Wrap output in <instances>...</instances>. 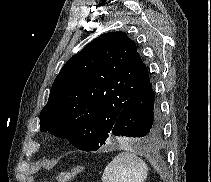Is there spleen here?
Returning <instances> with one entry per match:
<instances>
[{
    "instance_id": "3e777b00",
    "label": "spleen",
    "mask_w": 211,
    "mask_h": 182,
    "mask_svg": "<svg viewBox=\"0 0 211 182\" xmlns=\"http://www.w3.org/2000/svg\"><path fill=\"white\" fill-rule=\"evenodd\" d=\"M146 163L129 152L119 153L106 167L103 182H144L147 177Z\"/></svg>"
}]
</instances>
